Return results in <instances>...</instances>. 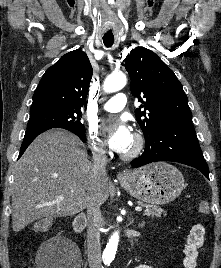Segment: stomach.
I'll use <instances>...</instances> for the list:
<instances>
[{
	"label": "stomach",
	"instance_id": "1",
	"mask_svg": "<svg viewBox=\"0 0 221 268\" xmlns=\"http://www.w3.org/2000/svg\"><path fill=\"white\" fill-rule=\"evenodd\" d=\"M120 182L130 195L151 205H163L173 201L185 187L182 173L165 162L152 163L128 171Z\"/></svg>",
	"mask_w": 221,
	"mask_h": 268
}]
</instances>
